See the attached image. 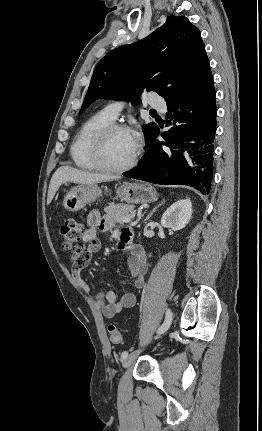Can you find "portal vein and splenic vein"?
Wrapping results in <instances>:
<instances>
[{"label": "portal vein and splenic vein", "mask_w": 262, "mask_h": 431, "mask_svg": "<svg viewBox=\"0 0 262 431\" xmlns=\"http://www.w3.org/2000/svg\"><path fill=\"white\" fill-rule=\"evenodd\" d=\"M132 218H133V217H125V218L123 219V221H124V222H126V223H129V222H131V221H132ZM137 223H138V221H135V222H134V224H137Z\"/></svg>", "instance_id": "portal-vein-and-splenic-vein-1"}]
</instances>
